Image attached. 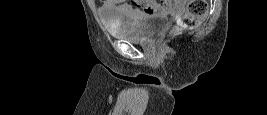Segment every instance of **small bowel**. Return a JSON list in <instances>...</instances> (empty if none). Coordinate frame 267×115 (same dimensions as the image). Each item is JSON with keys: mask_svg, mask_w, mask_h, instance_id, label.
Masks as SVG:
<instances>
[{"mask_svg": "<svg viewBox=\"0 0 267 115\" xmlns=\"http://www.w3.org/2000/svg\"><path fill=\"white\" fill-rule=\"evenodd\" d=\"M135 5L132 6L128 3H119L114 0H107L104 2V9H112L114 7L118 8L125 16L130 19H137L142 14H170L174 16H179L185 5L183 2L176 1H164V2H146V1H136Z\"/></svg>", "mask_w": 267, "mask_h": 115, "instance_id": "obj_1", "label": "small bowel"}]
</instances>
